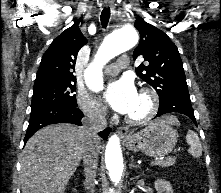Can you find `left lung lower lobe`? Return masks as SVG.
<instances>
[{"label": "left lung lower lobe", "mask_w": 221, "mask_h": 193, "mask_svg": "<svg viewBox=\"0 0 221 193\" xmlns=\"http://www.w3.org/2000/svg\"><path fill=\"white\" fill-rule=\"evenodd\" d=\"M171 112L184 114L196 124L189 93L180 92L160 103L156 117Z\"/></svg>", "instance_id": "0a47b994"}]
</instances>
